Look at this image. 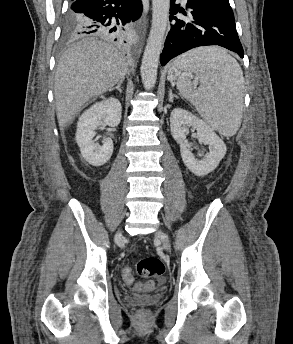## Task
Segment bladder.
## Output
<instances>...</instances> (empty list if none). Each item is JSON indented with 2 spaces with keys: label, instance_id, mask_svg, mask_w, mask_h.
I'll return each mask as SVG.
<instances>
[{
  "label": "bladder",
  "instance_id": "obj_1",
  "mask_svg": "<svg viewBox=\"0 0 293 344\" xmlns=\"http://www.w3.org/2000/svg\"><path fill=\"white\" fill-rule=\"evenodd\" d=\"M144 301H147V302H151L153 299L151 297H143V298H140Z\"/></svg>",
  "mask_w": 293,
  "mask_h": 344
}]
</instances>
